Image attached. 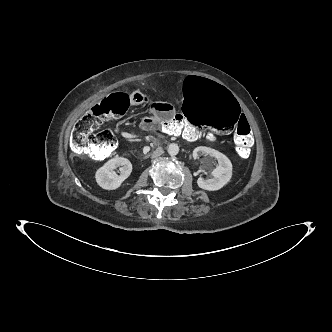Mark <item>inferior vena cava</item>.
<instances>
[{"label": "inferior vena cava", "mask_w": 332, "mask_h": 332, "mask_svg": "<svg viewBox=\"0 0 332 332\" xmlns=\"http://www.w3.org/2000/svg\"><path fill=\"white\" fill-rule=\"evenodd\" d=\"M163 153V149L161 147H158L153 153L152 158L159 157Z\"/></svg>", "instance_id": "602c4592"}]
</instances>
